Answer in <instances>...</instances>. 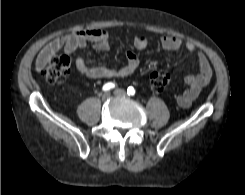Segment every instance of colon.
Returning <instances> with one entry per match:
<instances>
[{
	"mask_svg": "<svg viewBox=\"0 0 245 195\" xmlns=\"http://www.w3.org/2000/svg\"><path fill=\"white\" fill-rule=\"evenodd\" d=\"M71 67L70 57L66 54H53L44 69V77L49 82L66 79ZM170 75L166 71H155L150 74V87L155 92L162 91L169 83Z\"/></svg>",
	"mask_w": 245,
	"mask_h": 195,
	"instance_id": "1",
	"label": "colon"
}]
</instances>
